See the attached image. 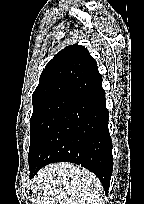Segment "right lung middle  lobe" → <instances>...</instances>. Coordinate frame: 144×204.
<instances>
[{
    "mask_svg": "<svg viewBox=\"0 0 144 204\" xmlns=\"http://www.w3.org/2000/svg\"><path fill=\"white\" fill-rule=\"evenodd\" d=\"M74 98L71 95H59L33 105L30 119L29 167Z\"/></svg>",
    "mask_w": 144,
    "mask_h": 204,
    "instance_id": "right-lung-middle-lobe-1",
    "label": "right lung middle lobe"
}]
</instances>
